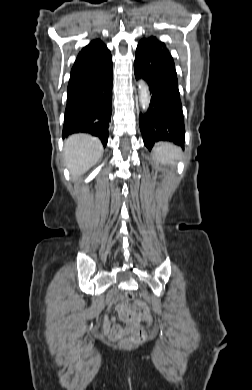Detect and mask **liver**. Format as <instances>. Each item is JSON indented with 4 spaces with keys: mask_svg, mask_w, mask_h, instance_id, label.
Instances as JSON below:
<instances>
[{
    "mask_svg": "<svg viewBox=\"0 0 252 390\" xmlns=\"http://www.w3.org/2000/svg\"><path fill=\"white\" fill-rule=\"evenodd\" d=\"M102 153L100 140L88 134H74L65 140V164L73 177L87 172L98 162Z\"/></svg>",
    "mask_w": 252,
    "mask_h": 390,
    "instance_id": "6515ba94",
    "label": "liver"
}]
</instances>
